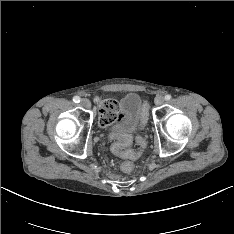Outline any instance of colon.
<instances>
[{"mask_svg": "<svg viewBox=\"0 0 234 234\" xmlns=\"http://www.w3.org/2000/svg\"><path fill=\"white\" fill-rule=\"evenodd\" d=\"M149 105L150 102L148 100H145L142 103V106L144 107L142 113L144 115H147L149 113V110L147 109ZM117 119H118L117 101L112 98H105L103 100H100V117H99L100 125L103 127L109 126L114 122H116ZM143 127L144 124L142 122H139L137 126L134 128L133 135L135 137H138ZM111 139L114 140V143L112 145V152L116 156L123 159H131V160H134L139 157L140 151L133 150L130 148L133 137L132 135H130L129 132L121 129L120 127H115L112 130ZM121 168L124 172H131L133 170V164L127 161L122 164Z\"/></svg>", "mask_w": 234, "mask_h": 234, "instance_id": "5ec220e1", "label": "colon"}]
</instances>
